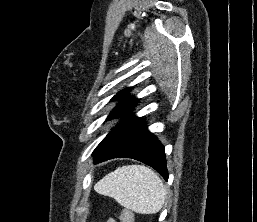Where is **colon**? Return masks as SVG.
<instances>
[{"instance_id": "1", "label": "colon", "mask_w": 257, "mask_h": 222, "mask_svg": "<svg viewBox=\"0 0 257 222\" xmlns=\"http://www.w3.org/2000/svg\"><path fill=\"white\" fill-rule=\"evenodd\" d=\"M121 222H133V213L128 209H123L120 214Z\"/></svg>"}]
</instances>
